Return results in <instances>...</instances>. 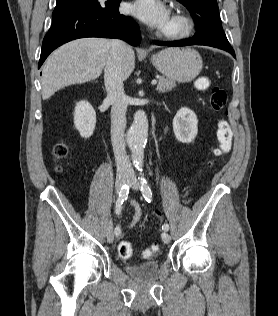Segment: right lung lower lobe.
<instances>
[{"mask_svg":"<svg viewBox=\"0 0 278 316\" xmlns=\"http://www.w3.org/2000/svg\"><path fill=\"white\" fill-rule=\"evenodd\" d=\"M120 1L83 0L55 8L52 26L43 40L38 68L54 49L78 38H119L133 46L139 45L140 31L130 17L119 14Z\"/></svg>","mask_w":278,"mask_h":316,"instance_id":"98d812e1","label":"right lung lower lobe"}]
</instances>
